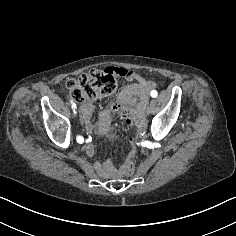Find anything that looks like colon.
I'll return each instance as SVG.
<instances>
[{
    "label": "colon",
    "mask_w": 236,
    "mask_h": 236,
    "mask_svg": "<svg viewBox=\"0 0 236 236\" xmlns=\"http://www.w3.org/2000/svg\"><path fill=\"white\" fill-rule=\"evenodd\" d=\"M127 71L123 68L108 67L105 69H93L83 73L78 78L68 79L66 88L70 100L76 102H87L97 98L111 95L116 89V77H124ZM122 172L125 176H132L135 172V164L128 159L123 166Z\"/></svg>",
    "instance_id": "5ec220e1"
}]
</instances>
